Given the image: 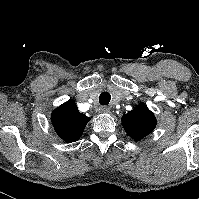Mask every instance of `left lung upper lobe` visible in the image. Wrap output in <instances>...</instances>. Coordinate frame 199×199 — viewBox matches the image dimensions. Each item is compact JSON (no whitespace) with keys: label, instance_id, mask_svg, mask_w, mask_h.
<instances>
[{"label":"left lung upper lobe","instance_id":"left-lung-upper-lobe-1","mask_svg":"<svg viewBox=\"0 0 199 199\" xmlns=\"http://www.w3.org/2000/svg\"><path fill=\"white\" fill-rule=\"evenodd\" d=\"M122 125L132 139L140 140L154 130L156 118L145 104H139L123 115Z\"/></svg>","mask_w":199,"mask_h":199}]
</instances>
